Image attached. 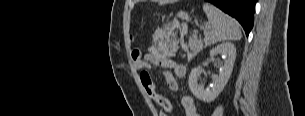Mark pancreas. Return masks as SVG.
Wrapping results in <instances>:
<instances>
[{
  "mask_svg": "<svg viewBox=\"0 0 305 116\" xmlns=\"http://www.w3.org/2000/svg\"><path fill=\"white\" fill-rule=\"evenodd\" d=\"M203 47V42L200 39L192 37L189 39L188 45L184 47V50L186 51L188 58H193L203 49Z\"/></svg>",
  "mask_w": 305,
  "mask_h": 116,
  "instance_id": "pancreas-1",
  "label": "pancreas"
}]
</instances>
